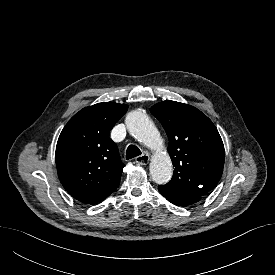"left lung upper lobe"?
Returning a JSON list of instances; mask_svg holds the SVG:
<instances>
[{
	"label": "left lung upper lobe",
	"instance_id": "obj_1",
	"mask_svg": "<svg viewBox=\"0 0 275 275\" xmlns=\"http://www.w3.org/2000/svg\"><path fill=\"white\" fill-rule=\"evenodd\" d=\"M150 112L169 138L168 152L175 167L161 189L171 198L203 196L219 182L224 167V145L212 121L197 108L163 101Z\"/></svg>",
	"mask_w": 275,
	"mask_h": 275
}]
</instances>
